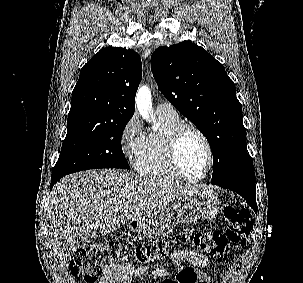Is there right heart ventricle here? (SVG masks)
Listing matches in <instances>:
<instances>
[{
	"instance_id": "e07e8e85",
	"label": "right heart ventricle",
	"mask_w": 303,
	"mask_h": 283,
	"mask_svg": "<svg viewBox=\"0 0 303 283\" xmlns=\"http://www.w3.org/2000/svg\"><path fill=\"white\" fill-rule=\"evenodd\" d=\"M161 127L145 136L143 146L135 160L136 170L143 176L155 179L176 180L178 175L171 168L167 157L166 136L178 123V114L157 112Z\"/></svg>"
}]
</instances>
